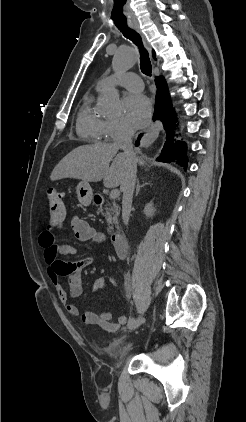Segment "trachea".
I'll return each mask as SVG.
<instances>
[{
	"label": "trachea",
	"instance_id": "1",
	"mask_svg": "<svg viewBox=\"0 0 246 422\" xmlns=\"http://www.w3.org/2000/svg\"><path fill=\"white\" fill-rule=\"evenodd\" d=\"M122 7V4H121ZM124 37L131 40L138 48L140 52V69L142 73L148 77L152 74V65L149 59L147 50L144 48L141 36L129 27H118Z\"/></svg>",
	"mask_w": 246,
	"mask_h": 422
}]
</instances>
